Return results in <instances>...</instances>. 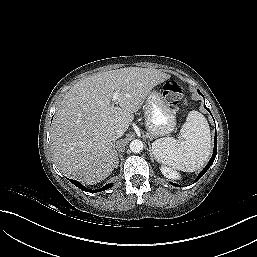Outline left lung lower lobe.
<instances>
[{
    "label": "left lung lower lobe",
    "mask_w": 257,
    "mask_h": 257,
    "mask_svg": "<svg viewBox=\"0 0 257 257\" xmlns=\"http://www.w3.org/2000/svg\"><path fill=\"white\" fill-rule=\"evenodd\" d=\"M199 92V94H201V92L200 91H198ZM202 95V94H201ZM204 107L210 112V110L205 106V104H204ZM210 114H211V112H210ZM212 115V114H211ZM216 154H217V135H216V130H215V145H214V151H213V154H212V157H211V159H210V161L208 162V164L206 165V167L201 171V173L198 175V177H197V179H196V181L199 179V178H201L205 173H206V171L210 168V166L213 164V162H214V160H215V157H216ZM195 181V182H196ZM174 186H179L180 187V185H177V184H175V183H172Z\"/></svg>",
    "instance_id": "obj_1"
}]
</instances>
